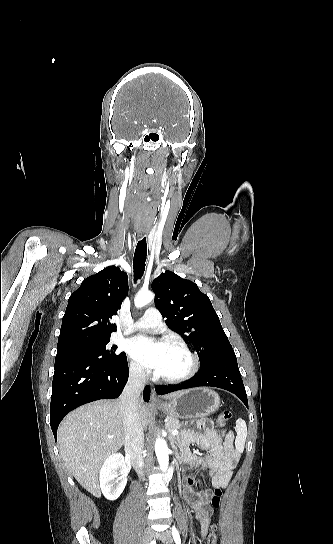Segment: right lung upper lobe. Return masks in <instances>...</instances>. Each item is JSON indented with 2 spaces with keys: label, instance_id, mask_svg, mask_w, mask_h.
<instances>
[{
  "label": "right lung upper lobe",
  "instance_id": "1",
  "mask_svg": "<svg viewBox=\"0 0 333 544\" xmlns=\"http://www.w3.org/2000/svg\"><path fill=\"white\" fill-rule=\"evenodd\" d=\"M128 292V277L109 266L86 278L71 294L63 316L57 349L110 338L116 315Z\"/></svg>",
  "mask_w": 333,
  "mask_h": 544
}]
</instances>
